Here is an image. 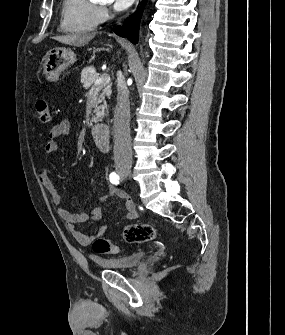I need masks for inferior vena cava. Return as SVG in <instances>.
Instances as JSON below:
<instances>
[{
  "mask_svg": "<svg viewBox=\"0 0 285 335\" xmlns=\"http://www.w3.org/2000/svg\"><path fill=\"white\" fill-rule=\"evenodd\" d=\"M129 94L122 72H117V104L114 114V152L118 160L132 162Z\"/></svg>",
  "mask_w": 285,
  "mask_h": 335,
  "instance_id": "1",
  "label": "inferior vena cava"
}]
</instances>
